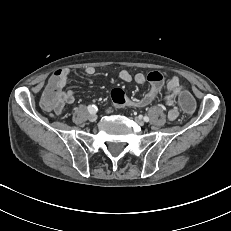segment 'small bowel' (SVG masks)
Here are the masks:
<instances>
[{
    "label": "small bowel",
    "mask_w": 231,
    "mask_h": 231,
    "mask_svg": "<svg viewBox=\"0 0 231 231\" xmlns=\"http://www.w3.org/2000/svg\"><path fill=\"white\" fill-rule=\"evenodd\" d=\"M62 77L59 79V83L56 90V102L50 109H52L57 115L62 114L64 106L66 104H71L75 101V94L72 89L65 90L66 83L69 78L70 71L66 68L61 69ZM86 75L92 76L95 73V69L91 66L84 68ZM119 78L124 82H132L139 85L149 84L150 89L147 93L143 94L138 98H128L126 105L133 107H145L149 105L161 91V89L166 87L165 102L169 107L168 119L174 121L180 111L179 99L177 96V91L180 88H185L178 76H172L165 84L163 76L160 72H151L148 75L137 73L135 75L131 74L127 70H122L119 72ZM186 89V88H185Z\"/></svg>",
    "instance_id": "obj_1"
}]
</instances>
